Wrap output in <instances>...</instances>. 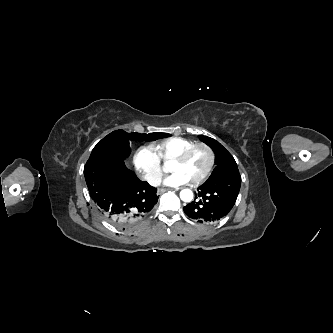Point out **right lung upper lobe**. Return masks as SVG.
<instances>
[{
  "mask_svg": "<svg viewBox=\"0 0 333 333\" xmlns=\"http://www.w3.org/2000/svg\"><path fill=\"white\" fill-rule=\"evenodd\" d=\"M155 134H161V135H165V134H167V133H155Z\"/></svg>",
  "mask_w": 333,
  "mask_h": 333,
  "instance_id": "obj_1",
  "label": "right lung upper lobe"
}]
</instances>
